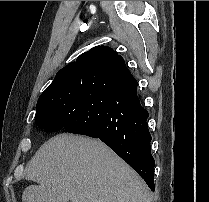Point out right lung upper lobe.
<instances>
[{"label": "right lung upper lobe", "mask_w": 209, "mask_h": 202, "mask_svg": "<svg viewBox=\"0 0 209 202\" xmlns=\"http://www.w3.org/2000/svg\"><path fill=\"white\" fill-rule=\"evenodd\" d=\"M123 67H125L123 58L112 48L96 46L81 54L75 62H71L62 68L55 78L68 77L75 74H89L91 78H94Z\"/></svg>", "instance_id": "obj_1"}]
</instances>
